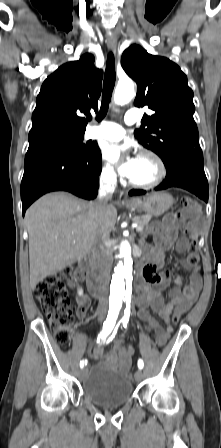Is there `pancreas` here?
<instances>
[{
	"label": "pancreas",
	"instance_id": "cf45deb5",
	"mask_svg": "<svg viewBox=\"0 0 221 448\" xmlns=\"http://www.w3.org/2000/svg\"><path fill=\"white\" fill-rule=\"evenodd\" d=\"M150 220H151L150 215L136 216L133 218V222L142 227L147 226Z\"/></svg>",
	"mask_w": 221,
	"mask_h": 448
}]
</instances>
